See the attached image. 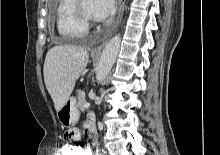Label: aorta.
<instances>
[{
    "label": "aorta",
    "mask_w": 220,
    "mask_h": 155,
    "mask_svg": "<svg viewBox=\"0 0 220 155\" xmlns=\"http://www.w3.org/2000/svg\"><path fill=\"white\" fill-rule=\"evenodd\" d=\"M120 44V35H115L106 44L97 67L96 79L98 80V82H103L108 73L110 72L119 53Z\"/></svg>",
    "instance_id": "obj_1"
}]
</instances>
